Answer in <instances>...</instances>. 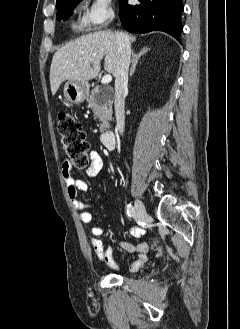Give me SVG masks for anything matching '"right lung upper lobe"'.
Listing matches in <instances>:
<instances>
[{
    "mask_svg": "<svg viewBox=\"0 0 240 329\" xmlns=\"http://www.w3.org/2000/svg\"><path fill=\"white\" fill-rule=\"evenodd\" d=\"M64 1H66V0H57V1H56V6L59 5V4H61V3L64 2Z\"/></svg>",
    "mask_w": 240,
    "mask_h": 329,
    "instance_id": "1",
    "label": "right lung upper lobe"
}]
</instances>
